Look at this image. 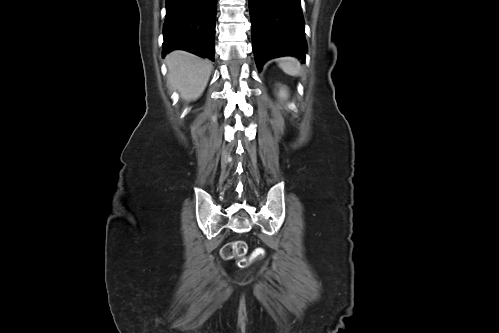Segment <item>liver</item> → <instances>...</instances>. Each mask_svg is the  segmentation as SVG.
<instances>
[{
    "label": "liver",
    "instance_id": "liver-1",
    "mask_svg": "<svg viewBox=\"0 0 499 333\" xmlns=\"http://www.w3.org/2000/svg\"><path fill=\"white\" fill-rule=\"evenodd\" d=\"M168 82L185 101L196 100L205 90L212 64L209 60L182 50L173 51L165 58Z\"/></svg>",
    "mask_w": 499,
    "mask_h": 333
}]
</instances>
